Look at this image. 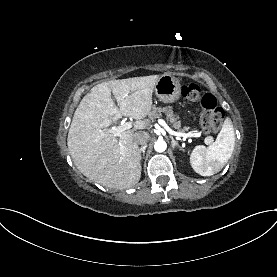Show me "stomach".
Wrapping results in <instances>:
<instances>
[{"instance_id":"stomach-1","label":"stomach","mask_w":277,"mask_h":277,"mask_svg":"<svg viewBox=\"0 0 277 277\" xmlns=\"http://www.w3.org/2000/svg\"><path fill=\"white\" fill-rule=\"evenodd\" d=\"M154 92L156 97L164 103L175 102L181 95L180 81L171 74H163L159 77Z\"/></svg>"}]
</instances>
